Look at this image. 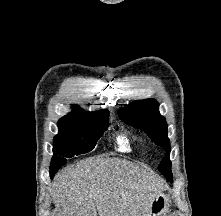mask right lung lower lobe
I'll use <instances>...</instances> for the list:
<instances>
[{
    "label": "right lung lower lobe",
    "instance_id": "obj_1",
    "mask_svg": "<svg viewBox=\"0 0 221 216\" xmlns=\"http://www.w3.org/2000/svg\"><path fill=\"white\" fill-rule=\"evenodd\" d=\"M54 175H55V174H54ZM54 175H51V174H50L51 178H52Z\"/></svg>",
    "mask_w": 221,
    "mask_h": 216
}]
</instances>
